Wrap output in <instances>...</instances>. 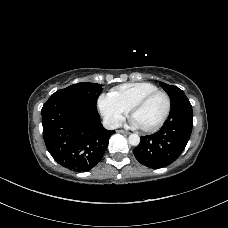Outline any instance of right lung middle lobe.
I'll list each match as a JSON object with an SVG mask.
<instances>
[{"mask_svg": "<svg viewBox=\"0 0 228 228\" xmlns=\"http://www.w3.org/2000/svg\"><path fill=\"white\" fill-rule=\"evenodd\" d=\"M102 90L101 84L81 82L58 90L52 96L73 97L96 105Z\"/></svg>", "mask_w": 228, "mask_h": 228, "instance_id": "1", "label": "right lung middle lobe"}]
</instances>
